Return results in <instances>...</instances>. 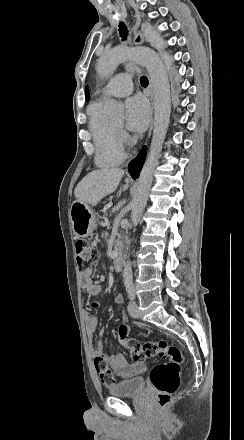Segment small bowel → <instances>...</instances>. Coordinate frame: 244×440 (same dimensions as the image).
Returning <instances> with one entry per match:
<instances>
[{
	"label": "small bowel",
	"mask_w": 244,
	"mask_h": 440,
	"mask_svg": "<svg viewBox=\"0 0 244 440\" xmlns=\"http://www.w3.org/2000/svg\"><path fill=\"white\" fill-rule=\"evenodd\" d=\"M94 270L93 268H86L80 273V282L83 289L89 296H99L101 294V286L97 283H94L92 280ZM115 301L117 303H122V297L116 296ZM95 305V304H94ZM86 318V331L89 338V349L91 355L94 356L95 353H104L106 356L105 361L108 366L112 369V371L119 377L122 378H132L140 375L145 371L144 363H134L128 362L126 358L121 354H108L104 350V345L101 340L97 343L93 342L92 336L97 329L98 319L95 316H91L89 314L85 315ZM100 338L103 336V330L99 332ZM126 343V342H125Z\"/></svg>",
	"instance_id": "1"
}]
</instances>
